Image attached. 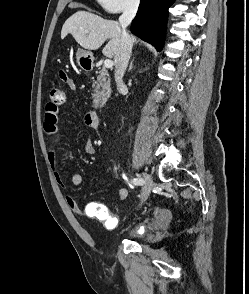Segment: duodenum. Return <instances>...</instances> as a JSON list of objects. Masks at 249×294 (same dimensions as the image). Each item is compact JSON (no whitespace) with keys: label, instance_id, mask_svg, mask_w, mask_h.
Masks as SVG:
<instances>
[{"label":"duodenum","instance_id":"410a0bca","mask_svg":"<svg viewBox=\"0 0 249 294\" xmlns=\"http://www.w3.org/2000/svg\"><path fill=\"white\" fill-rule=\"evenodd\" d=\"M89 118L93 122L95 127L99 126V115L95 110H91L89 113Z\"/></svg>","mask_w":249,"mask_h":294}]
</instances>
